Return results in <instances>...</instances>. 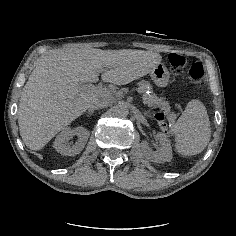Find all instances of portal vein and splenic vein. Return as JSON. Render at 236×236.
I'll use <instances>...</instances> for the list:
<instances>
[{
	"mask_svg": "<svg viewBox=\"0 0 236 236\" xmlns=\"http://www.w3.org/2000/svg\"><path fill=\"white\" fill-rule=\"evenodd\" d=\"M81 90H93L94 92H98L102 96L107 95L110 93V91L105 90L102 88V85L99 84L98 86H94L92 84H80Z\"/></svg>",
	"mask_w": 236,
	"mask_h": 236,
	"instance_id": "1",
	"label": "portal vein and splenic vein"
}]
</instances>
